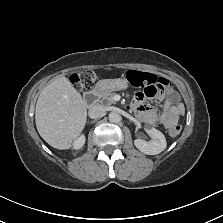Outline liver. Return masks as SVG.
Here are the masks:
<instances>
[{
    "instance_id": "6515ba94",
    "label": "liver",
    "mask_w": 223,
    "mask_h": 223,
    "mask_svg": "<svg viewBox=\"0 0 223 223\" xmlns=\"http://www.w3.org/2000/svg\"><path fill=\"white\" fill-rule=\"evenodd\" d=\"M86 106L80 93L65 76L49 84L36 105V125L51 146L67 149L86 122Z\"/></svg>"
}]
</instances>
